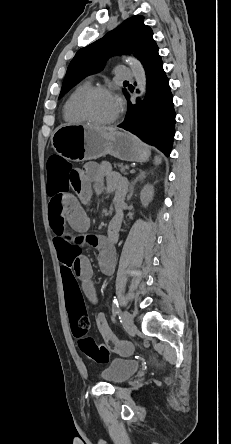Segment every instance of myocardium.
Returning a JSON list of instances; mask_svg holds the SVG:
<instances>
[{"instance_id": "1", "label": "myocardium", "mask_w": 231, "mask_h": 444, "mask_svg": "<svg viewBox=\"0 0 231 444\" xmlns=\"http://www.w3.org/2000/svg\"><path fill=\"white\" fill-rule=\"evenodd\" d=\"M98 93H107V94L113 95V91L109 87H105V86L90 87L88 90H86L83 93V95L81 96V98L79 100V103H78L79 113L87 122L95 124V125L106 126V125H112V124L116 123L119 120L120 115H121V111H122L121 106L119 107V110H118V113L116 114V116L110 120L98 121L91 115L90 110H89V102H90L91 98L95 94H98Z\"/></svg>"}]
</instances>
